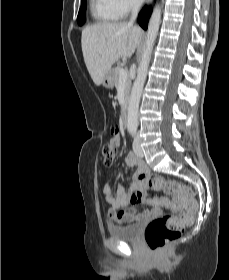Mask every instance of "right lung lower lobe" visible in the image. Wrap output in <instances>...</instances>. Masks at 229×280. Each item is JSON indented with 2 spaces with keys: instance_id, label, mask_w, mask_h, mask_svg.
<instances>
[{
  "instance_id": "obj_1",
  "label": "right lung lower lobe",
  "mask_w": 229,
  "mask_h": 280,
  "mask_svg": "<svg viewBox=\"0 0 229 280\" xmlns=\"http://www.w3.org/2000/svg\"><path fill=\"white\" fill-rule=\"evenodd\" d=\"M151 10L145 7L138 16V22L143 29H147Z\"/></svg>"
}]
</instances>
